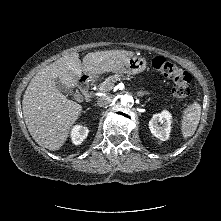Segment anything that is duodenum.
Instances as JSON below:
<instances>
[{
	"instance_id": "410a0bca",
	"label": "duodenum",
	"mask_w": 221,
	"mask_h": 221,
	"mask_svg": "<svg viewBox=\"0 0 221 221\" xmlns=\"http://www.w3.org/2000/svg\"><path fill=\"white\" fill-rule=\"evenodd\" d=\"M89 80L85 75L79 80V87L86 97H89Z\"/></svg>"
}]
</instances>
